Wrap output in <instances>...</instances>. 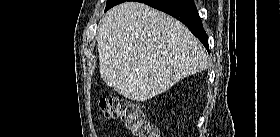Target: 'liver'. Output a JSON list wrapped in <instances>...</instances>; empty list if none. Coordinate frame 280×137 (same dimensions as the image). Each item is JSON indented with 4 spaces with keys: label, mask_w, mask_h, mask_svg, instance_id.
<instances>
[{
    "label": "liver",
    "mask_w": 280,
    "mask_h": 137,
    "mask_svg": "<svg viewBox=\"0 0 280 137\" xmlns=\"http://www.w3.org/2000/svg\"><path fill=\"white\" fill-rule=\"evenodd\" d=\"M97 48L103 81L137 102L208 66L205 48L185 25L137 2L121 3L106 13Z\"/></svg>",
    "instance_id": "liver-1"
}]
</instances>
